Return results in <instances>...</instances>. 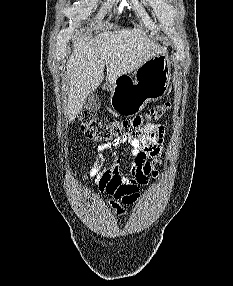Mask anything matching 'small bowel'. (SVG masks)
Instances as JSON below:
<instances>
[{
    "label": "small bowel",
    "mask_w": 233,
    "mask_h": 286,
    "mask_svg": "<svg viewBox=\"0 0 233 286\" xmlns=\"http://www.w3.org/2000/svg\"><path fill=\"white\" fill-rule=\"evenodd\" d=\"M121 144L130 147L132 161L129 175L121 172L122 161L116 155ZM165 147V130L160 124H147L139 134L115 142L100 144L97 149L109 153L113 160L108 167H102L98 160L88 171L86 178L92 179L98 189L109 196L108 203L117 215L126 212L125 206L134 203L145 187L150 175L156 176L154 165Z\"/></svg>",
    "instance_id": "obj_1"
}]
</instances>
